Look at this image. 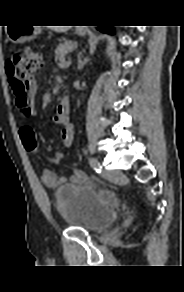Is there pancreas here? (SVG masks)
Returning a JSON list of instances; mask_svg holds the SVG:
<instances>
[{
    "label": "pancreas",
    "mask_w": 184,
    "mask_h": 292,
    "mask_svg": "<svg viewBox=\"0 0 184 292\" xmlns=\"http://www.w3.org/2000/svg\"><path fill=\"white\" fill-rule=\"evenodd\" d=\"M76 47H77L76 42L65 41L60 43L55 50V59L56 60L63 59L68 52L76 49Z\"/></svg>",
    "instance_id": "cf45deb5"
}]
</instances>
